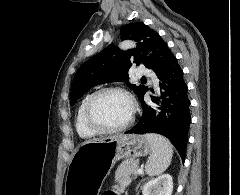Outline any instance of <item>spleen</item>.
I'll use <instances>...</instances> for the list:
<instances>
[{
  "label": "spleen",
  "mask_w": 240,
  "mask_h": 195,
  "mask_svg": "<svg viewBox=\"0 0 240 195\" xmlns=\"http://www.w3.org/2000/svg\"><path fill=\"white\" fill-rule=\"evenodd\" d=\"M151 145V155L146 161L145 171L148 175H160L169 167L173 155V145L160 133H145Z\"/></svg>",
  "instance_id": "1"
}]
</instances>
